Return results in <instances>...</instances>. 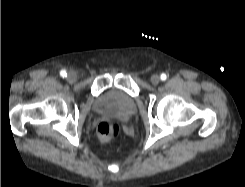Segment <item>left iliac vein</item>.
<instances>
[{
  "mask_svg": "<svg viewBox=\"0 0 245 187\" xmlns=\"http://www.w3.org/2000/svg\"><path fill=\"white\" fill-rule=\"evenodd\" d=\"M150 81L153 85H157L160 82V77L157 74L151 76Z\"/></svg>",
  "mask_w": 245,
  "mask_h": 187,
  "instance_id": "left-iliac-vein-1",
  "label": "left iliac vein"
}]
</instances>
